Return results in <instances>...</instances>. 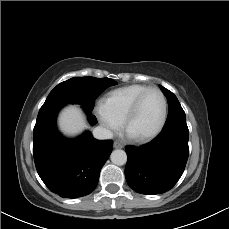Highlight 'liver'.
Here are the masks:
<instances>
[{"instance_id":"6515ba94","label":"liver","mask_w":229,"mask_h":229,"mask_svg":"<svg viewBox=\"0 0 229 229\" xmlns=\"http://www.w3.org/2000/svg\"><path fill=\"white\" fill-rule=\"evenodd\" d=\"M58 125L67 135H76L88 127L82 110L76 105L68 106L61 112Z\"/></svg>"}]
</instances>
